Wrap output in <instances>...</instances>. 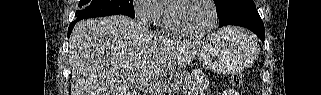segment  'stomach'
I'll use <instances>...</instances> for the list:
<instances>
[{
    "label": "stomach",
    "mask_w": 321,
    "mask_h": 95,
    "mask_svg": "<svg viewBox=\"0 0 321 95\" xmlns=\"http://www.w3.org/2000/svg\"><path fill=\"white\" fill-rule=\"evenodd\" d=\"M259 47L254 36L238 28H224L198 50L202 65L218 73H234L250 66Z\"/></svg>",
    "instance_id": "stomach-1"
}]
</instances>
